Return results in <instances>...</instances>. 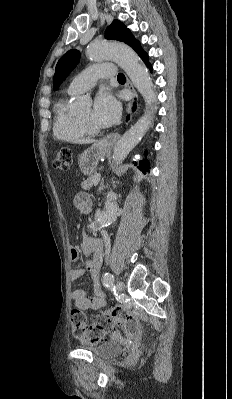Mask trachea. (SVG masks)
I'll return each instance as SVG.
<instances>
[{
    "mask_svg": "<svg viewBox=\"0 0 232 399\" xmlns=\"http://www.w3.org/2000/svg\"><path fill=\"white\" fill-rule=\"evenodd\" d=\"M117 80H126L125 76L123 75V73H118L117 75Z\"/></svg>",
    "mask_w": 232,
    "mask_h": 399,
    "instance_id": "3493384b",
    "label": "trachea"
}]
</instances>
